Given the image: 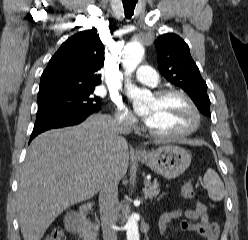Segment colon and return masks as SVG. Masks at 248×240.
Masks as SVG:
<instances>
[{
  "instance_id": "1",
  "label": "colon",
  "mask_w": 248,
  "mask_h": 240,
  "mask_svg": "<svg viewBox=\"0 0 248 240\" xmlns=\"http://www.w3.org/2000/svg\"><path fill=\"white\" fill-rule=\"evenodd\" d=\"M182 196L185 199H192L195 191L191 183H185L181 189ZM44 240H66L63 230L59 227L54 228Z\"/></svg>"
}]
</instances>
